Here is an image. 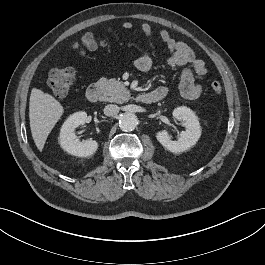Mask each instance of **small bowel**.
Wrapping results in <instances>:
<instances>
[{
    "label": "small bowel",
    "mask_w": 265,
    "mask_h": 265,
    "mask_svg": "<svg viewBox=\"0 0 265 265\" xmlns=\"http://www.w3.org/2000/svg\"><path fill=\"white\" fill-rule=\"evenodd\" d=\"M122 27L125 31H130L133 25L127 21L123 23ZM140 29L146 37L152 35V27L148 23H142ZM159 37L169 52L164 64L170 68L184 67L180 81L181 94L188 99H197L202 93L200 81L208 73L205 62L196 58L194 52L186 43L176 41L168 31L161 30ZM134 63L141 72H149L154 64L152 57L148 53L139 55ZM154 91H161L166 95L167 88L159 87Z\"/></svg>",
    "instance_id": "c3829d8e"
}]
</instances>
